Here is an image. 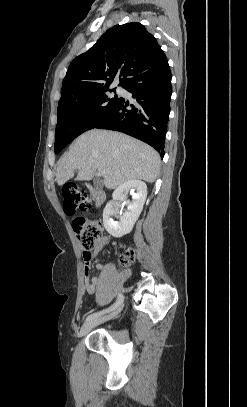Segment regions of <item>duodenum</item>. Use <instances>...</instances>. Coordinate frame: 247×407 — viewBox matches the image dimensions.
Here are the masks:
<instances>
[{"instance_id": "410a0bca", "label": "duodenum", "mask_w": 247, "mask_h": 407, "mask_svg": "<svg viewBox=\"0 0 247 407\" xmlns=\"http://www.w3.org/2000/svg\"><path fill=\"white\" fill-rule=\"evenodd\" d=\"M88 185V184H87ZM89 186V185H88ZM91 189L92 199L95 206H99L105 200V194L100 190Z\"/></svg>"}]
</instances>
